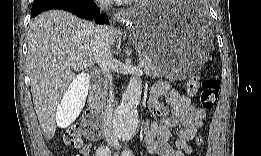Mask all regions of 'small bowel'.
Returning <instances> with one entry per match:
<instances>
[{"label": "small bowel", "instance_id": "small-bowel-1", "mask_svg": "<svg viewBox=\"0 0 261 156\" xmlns=\"http://www.w3.org/2000/svg\"><path fill=\"white\" fill-rule=\"evenodd\" d=\"M165 97L166 105L160 102ZM149 107L153 117L145 128V148L149 155L185 156L192 152L190 141L203 126L205 111L193 105L168 82H157L151 89ZM174 143L175 148L171 146ZM91 144H84L79 155L89 156Z\"/></svg>", "mask_w": 261, "mask_h": 156}]
</instances>
